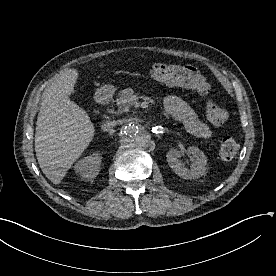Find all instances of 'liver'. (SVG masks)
<instances>
[{
  "label": "liver",
  "mask_w": 276,
  "mask_h": 276,
  "mask_svg": "<svg viewBox=\"0 0 276 276\" xmlns=\"http://www.w3.org/2000/svg\"><path fill=\"white\" fill-rule=\"evenodd\" d=\"M77 78V69L66 70L42 94L35 152L42 172L54 184L61 183L94 137L90 117L69 98Z\"/></svg>",
  "instance_id": "1"
}]
</instances>
